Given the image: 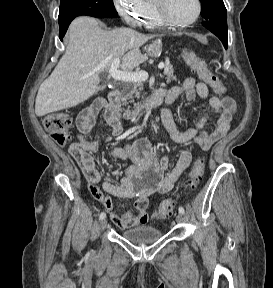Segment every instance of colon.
<instances>
[{
    "instance_id": "colon-1",
    "label": "colon",
    "mask_w": 273,
    "mask_h": 288,
    "mask_svg": "<svg viewBox=\"0 0 273 288\" xmlns=\"http://www.w3.org/2000/svg\"><path fill=\"white\" fill-rule=\"evenodd\" d=\"M183 57L199 75L216 93L223 94L226 91L224 85L219 79L207 68L206 64L190 50H183ZM72 118L63 112H55L48 114L43 119V126L49 133L52 140L59 146H65L70 141V128ZM205 171V160L199 159L193 165L188 178L185 182V187L188 190H194L199 181L202 179ZM175 202L172 199H166L161 202L158 209L155 211V216L158 219H166L173 214Z\"/></svg>"
}]
</instances>
